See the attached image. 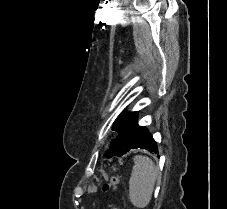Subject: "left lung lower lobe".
<instances>
[{
    "label": "left lung lower lobe",
    "mask_w": 227,
    "mask_h": 209,
    "mask_svg": "<svg viewBox=\"0 0 227 209\" xmlns=\"http://www.w3.org/2000/svg\"><path fill=\"white\" fill-rule=\"evenodd\" d=\"M136 148H141V149L148 150L150 152L158 153L157 144L155 140L153 139L149 131L143 126H139L136 137L132 145L130 146V149H136Z\"/></svg>",
    "instance_id": "1"
}]
</instances>
